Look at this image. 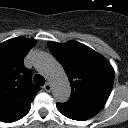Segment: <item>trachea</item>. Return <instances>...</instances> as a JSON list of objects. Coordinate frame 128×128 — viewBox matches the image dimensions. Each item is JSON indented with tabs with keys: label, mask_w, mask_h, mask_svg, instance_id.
Returning <instances> with one entry per match:
<instances>
[{
	"label": "trachea",
	"mask_w": 128,
	"mask_h": 128,
	"mask_svg": "<svg viewBox=\"0 0 128 128\" xmlns=\"http://www.w3.org/2000/svg\"><path fill=\"white\" fill-rule=\"evenodd\" d=\"M34 83L36 85L43 86L45 84V78L40 74H36L34 76Z\"/></svg>",
	"instance_id": "3493384b"
}]
</instances>
